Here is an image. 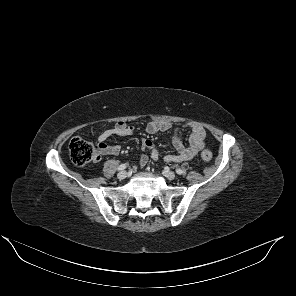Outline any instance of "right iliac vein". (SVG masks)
<instances>
[{
  "label": "right iliac vein",
  "mask_w": 296,
  "mask_h": 296,
  "mask_svg": "<svg viewBox=\"0 0 296 296\" xmlns=\"http://www.w3.org/2000/svg\"><path fill=\"white\" fill-rule=\"evenodd\" d=\"M118 179L124 180L127 177V172L126 171H121L117 175Z\"/></svg>",
  "instance_id": "63e3f726"
}]
</instances>
